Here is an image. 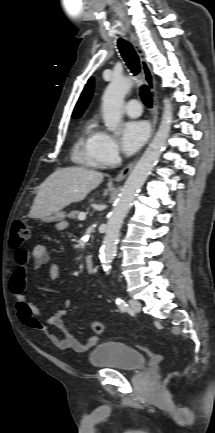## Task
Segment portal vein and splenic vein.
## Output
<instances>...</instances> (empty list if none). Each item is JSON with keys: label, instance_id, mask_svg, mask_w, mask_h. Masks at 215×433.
Segmentation results:
<instances>
[{"label": "portal vein and splenic vein", "instance_id": "1", "mask_svg": "<svg viewBox=\"0 0 215 433\" xmlns=\"http://www.w3.org/2000/svg\"><path fill=\"white\" fill-rule=\"evenodd\" d=\"M78 219H79L80 221L85 220V219H86V213H80V214L78 215Z\"/></svg>", "mask_w": 215, "mask_h": 433}]
</instances>
